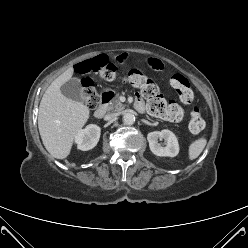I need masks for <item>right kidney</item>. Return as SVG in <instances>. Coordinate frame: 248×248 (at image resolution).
<instances>
[{
	"label": "right kidney",
	"mask_w": 248,
	"mask_h": 248,
	"mask_svg": "<svg viewBox=\"0 0 248 248\" xmlns=\"http://www.w3.org/2000/svg\"><path fill=\"white\" fill-rule=\"evenodd\" d=\"M101 129L95 124L88 125L85 129L78 132L75 137L77 148L82 151H87L94 148L100 138Z\"/></svg>",
	"instance_id": "obj_1"
}]
</instances>
